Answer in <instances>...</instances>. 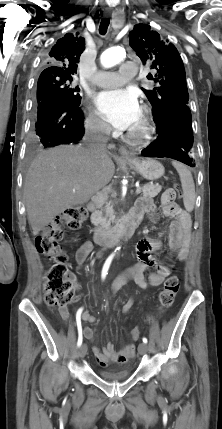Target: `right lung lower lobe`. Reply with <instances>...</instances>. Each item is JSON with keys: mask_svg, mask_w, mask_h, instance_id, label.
<instances>
[{"mask_svg": "<svg viewBox=\"0 0 222 429\" xmlns=\"http://www.w3.org/2000/svg\"><path fill=\"white\" fill-rule=\"evenodd\" d=\"M35 127L45 148L81 140L84 127L80 103L60 92L46 94L37 104Z\"/></svg>", "mask_w": 222, "mask_h": 429, "instance_id": "1", "label": "right lung lower lobe"}]
</instances>
